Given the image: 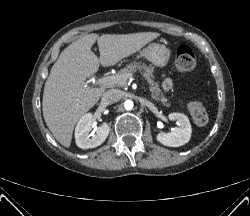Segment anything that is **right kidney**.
<instances>
[{"label":"right kidney","mask_w":250,"mask_h":216,"mask_svg":"<svg viewBox=\"0 0 250 216\" xmlns=\"http://www.w3.org/2000/svg\"><path fill=\"white\" fill-rule=\"evenodd\" d=\"M91 130L92 114L87 113L80 118L75 128V140L79 148L89 149L101 145L108 137L110 128L107 123H103L90 138L89 133Z\"/></svg>","instance_id":"right-kidney-1"}]
</instances>
